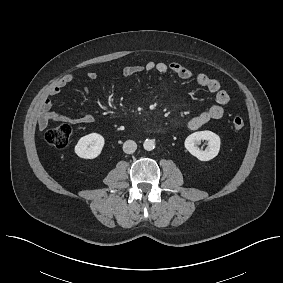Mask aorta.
Instances as JSON below:
<instances>
[{
	"mask_svg": "<svg viewBox=\"0 0 283 283\" xmlns=\"http://www.w3.org/2000/svg\"><path fill=\"white\" fill-rule=\"evenodd\" d=\"M143 147L146 151H152L155 148V141L153 139H146Z\"/></svg>",
	"mask_w": 283,
	"mask_h": 283,
	"instance_id": "762f6f07",
	"label": "aorta"
}]
</instances>
